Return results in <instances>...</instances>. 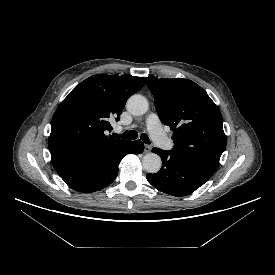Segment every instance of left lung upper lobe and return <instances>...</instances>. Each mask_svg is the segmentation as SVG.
I'll use <instances>...</instances> for the list:
<instances>
[{
  "instance_id": "obj_1",
  "label": "left lung upper lobe",
  "mask_w": 275,
  "mask_h": 275,
  "mask_svg": "<svg viewBox=\"0 0 275 275\" xmlns=\"http://www.w3.org/2000/svg\"><path fill=\"white\" fill-rule=\"evenodd\" d=\"M147 85L160 120L173 131L175 146L171 152L213 175L226 148L217 105L204 89L188 79L150 76Z\"/></svg>"
}]
</instances>
